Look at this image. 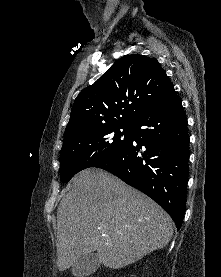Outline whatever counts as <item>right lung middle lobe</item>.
I'll use <instances>...</instances> for the list:
<instances>
[{"instance_id":"1","label":"right lung middle lobe","mask_w":221,"mask_h":277,"mask_svg":"<svg viewBox=\"0 0 221 277\" xmlns=\"http://www.w3.org/2000/svg\"><path fill=\"white\" fill-rule=\"evenodd\" d=\"M132 133V125H101L65 140L61 149V181L68 182L79 171L93 167L127 146Z\"/></svg>"}]
</instances>
